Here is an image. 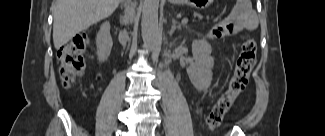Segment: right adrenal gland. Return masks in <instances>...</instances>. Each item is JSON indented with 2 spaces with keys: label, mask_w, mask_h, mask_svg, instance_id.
Returning a JSON list of instances; mask_svg holds the SVG:
<instances>
[{
  "label": "right adrenal gland",
  "mask_w": 325,
  "mask_h": 136,
  "mask_svg": "<svg viewBox=\"0 0 325 136\" xmlns=\"http://www.w3.org/2000/svg\"><path fill=\"white\" fill-rule=\"evenodd\" d=\"M121 22H123V17H121Z\"/></svg>",
  "instance_id": "right-adrenal-gland-1"
}]
</instances>
